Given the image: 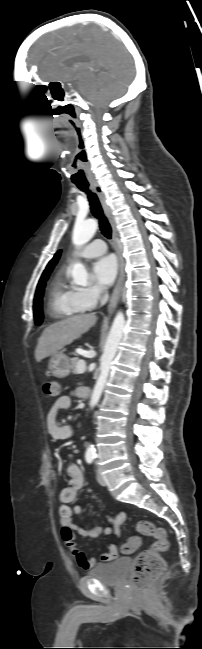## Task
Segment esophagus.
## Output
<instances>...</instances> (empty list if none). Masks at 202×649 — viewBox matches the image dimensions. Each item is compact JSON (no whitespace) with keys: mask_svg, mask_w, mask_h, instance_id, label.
<instances>
[{"mask_svg":"<svg viewBox=\"0 0 202 649\" xmlns=\"http://www.w3.org/2000/svg\"><path fill=\"white\" fill-rule=\"evenodd\" d=\"M90 186L95 191V193L97 194V196H98V198H99V200H100V202L102 204L104 213H105L106 217L108 218L109 223L111 225L113 240H114V243L116 244V239H117L116 224H115L114 217H113V215L111 213V210L106 204L105 194H104L101 186L99 185V183L97 181H91ZM116 253H117L118 264H119V276H118L117 283H116V285L114 287V290L112 292V295H111V298H110V301H109V304H108V312H112V310L117 305V302H118V300L120 298V294H121V291H122L123 278H124L123 259H122V256H121L120 249L118 248L117 245H116Z\"/></svg>","mask_w":202,"mask_h":649,"instance_id":"obj_1","label":"esophagus"}]
</instances>
